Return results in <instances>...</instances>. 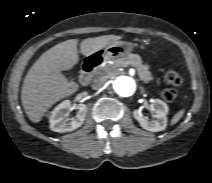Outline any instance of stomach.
<instances>
[{"label":"stomach","instance_id":"1","mask_svg":"<svg viewBox=\"0 0 212 183\" xmlns=\"http://www.w3.org/2000/svg\"><path fill=\"white\" fill-rule=\"evenodd\" d=\"M134 49V44L127 41H113L102 51L105 59L114 60L127 56Z\"/></svg>","mask_w":212,"mask_h":183}]
</instances>
